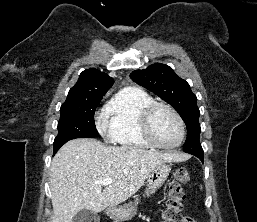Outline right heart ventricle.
I'll return each mask as SVG.
<instances>
[{
  "mask_svg": "<svg viewBox=\"0 0 257 222\" xmlns=\"http://www.w3.org/2000/svg\"><path fill=\"white\" fill-rule=\"evenodd\" d=\"M154 98L139 88H125L110 99L104 107L109 139L126 148L150 149L143 138L140 117Z\"/></svg>",
  "mask_w": 257,
  "mask_h": 222,
  "instance_id": "right-heart-ventricle-1",
  "label": "right heart ventricle"
}]
</instances>
